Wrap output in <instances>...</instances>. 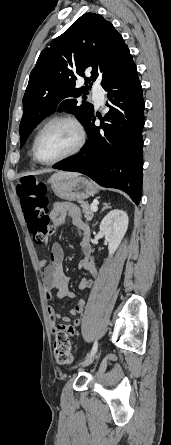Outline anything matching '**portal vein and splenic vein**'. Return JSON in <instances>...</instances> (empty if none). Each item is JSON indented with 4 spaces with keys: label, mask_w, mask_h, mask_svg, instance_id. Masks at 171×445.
<instances>
[{
    "label": "portal vein and splenic vein",
    "mask_w": 171,
    "mask_h": 445,
    "mask_svg": "<svg viewBox=\"0 0 171 445\" xmlns=\"http://www.w3.org/2000/svg\"><path fill=\"white\" fill-rule=\"evenodd\" d=\"M90 209H91L93 212H96V211H97V203H96V202H93V203L90 205Z\"/></svg>",
    "instance_id": "portal-vein-and-splenic-vein-1"
}]
</instances>
